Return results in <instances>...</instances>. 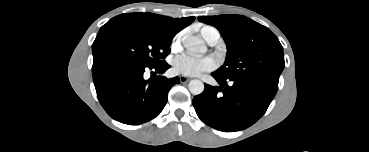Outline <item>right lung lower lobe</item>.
Instances as JSON below:
<instances>
[{"mask_svg":"<svg viewBox=\"0 0 369 152\" xmlns=\"http://www.w3.org/2000/svg\"><path fill=\"white\" fill-rule=\"evenodd\" d=\"M169 67L166 62L152 67L113 64L94 72V85L102 107L124 124L137 125L155 118L163 110L169 90L180 79L157 76L145 80L143 74L148 68L162 74Z\"/></svg>","mask_w":369,"mask_h":152,"instance_id":"right-lung-lower-lobe-1","label":"right lung lower lobe"}]
</instances>
